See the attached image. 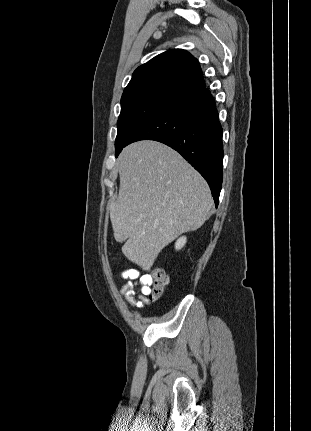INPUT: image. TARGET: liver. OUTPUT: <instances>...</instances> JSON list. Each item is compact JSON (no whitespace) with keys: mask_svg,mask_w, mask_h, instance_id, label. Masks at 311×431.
<instances>
[{"mask_svg":"<svg viewBox=\"0 0 311 431\" xmlns=\"http://www.w3.org/2000/svg\"><path fill=\"white\" fill-rule=\"evenodd\" d=\"M120 188L110 206L113 235L130 261L150 269L160 251L181 233L208 219L213 200L202 176L159 142H135L122 150Z\"/></svg>","mask_w":311,"mask_h":431,"instance_id":"obj_1","label":"liver"}]
</instances>
